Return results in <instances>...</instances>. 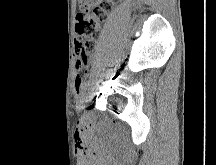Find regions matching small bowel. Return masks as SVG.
<instances>
[{
    "instance_id": "1",
    "label": "small bowel",
    "mask_w": 216,
    "mask_h": 165,
    "mask_svg": "<svg viewBox=\"0 0 216 165\" xmlns=\"http://www.w3.org/2000/svg\"><path fill=\"white\" fill-rule=\"evenodd\" d=\"M81 66L82 65L79 64V63L76 64V68L78 70V73H77L76 80H75V88H76L77 92L81 90L82 82H83L82 75L79 73V70L81 69Z\"/></svg>"
}]
</instances>
